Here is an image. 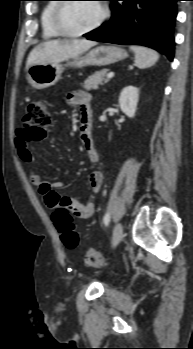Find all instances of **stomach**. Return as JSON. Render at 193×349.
<instances>
[{"mask_svg": "<svg viewBox=\"0 0 193 349\" xmlns=\"http://www.w3.org/2000/svg\"><path fill=\"white\" fill-rule=\"evenodd\" d=\"M127 56V52L118 46L102 45L83 56L73 58L65 65L60 62L34 64L27 71V81L35 89H44L55 85L59 81L65 67L106 66L123 60Z\"/></svg>", "mask_w": 193, "mask_h": 349, "instance_id": "stomach-1", "label": "stomach"}]
</instances>
